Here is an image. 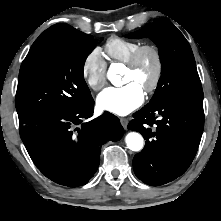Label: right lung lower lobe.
I'll return each mask as SVG.
<instances>
[{
	"instance_id": "98d812e1",
	"label": "right lung lower lobe",
	"mask_w": 221,
	"mask_h": 221,
	"mask_svg": "<svg viewBox=\"0 0 221 221\" xmlns=\"http://www.w3.org/2000/svg\"><path fill=\"white\" fill-rule=\"evenodd\" d=\"M91 97L73 110L38 114L20 123V136L37 168L50 180L69 187L86 184L96 173L106 141L124 133L119 119L104 112L93 115Z\"/></svg>"
}]
</instances>
